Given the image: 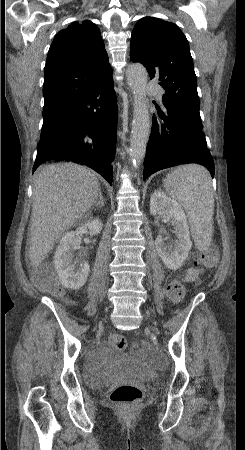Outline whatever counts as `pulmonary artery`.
I'll list each match as a JSON object with an SVG mask.
<instances>
[{"label": "pulmonary artery", "instance_id": "pulmonary-artery-1", "mask_svg": "<svg viewBox=\"0 0 245 450\" xmlns=\"http://www.w3.org/2000/svg\"><path fill=\"white\" fill-rule=\"evenodd\" d=\"M157 87L156 83H154L153 81H149L147 83V88L148 91L150 90H154ZM158 96L161 98L162 97V92L161 91H157Z\"/></svg>", "mask_w": 245, "mask_h": 450}]
</instances>
